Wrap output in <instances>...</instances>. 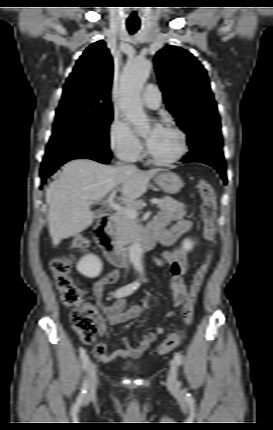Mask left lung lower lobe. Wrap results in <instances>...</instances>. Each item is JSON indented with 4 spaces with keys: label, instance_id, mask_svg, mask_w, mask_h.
Listing matches in <instances>:
<instances>
[{
    "label": "left lung lower lobe",
    "instance_id": "1",
    "mask_svg": "<svg viewBox=\"0 0 273 430\" xmlns=\"http://www.w3.org/2000/svg\"><path fill=\"white\" fill-rule=\"evenodd\" d=\"M198 137L195 143H188L190 151L180 161H196L210 165L218 170L224 183H227L221 136L205 132Z\"/></svg>",
    "mask_w": 273,
    "mask_h": 430
}]
</instances>
